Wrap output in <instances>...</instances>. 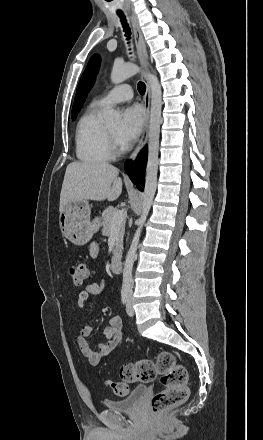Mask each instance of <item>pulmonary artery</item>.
<instances>
[{"instance_id":"pulmonary-artery-1","label":"pulmonary artery","mask_w":263,"mask_h":440,"mask_svg":"<svg viewBox=\"0 0 263 440\" xmlns=\"http://www.w3.org/2000/svg\"><path fill=\"white\" fill-rule=\"evenodd\" d=\"M133 97V89L129 84H122L107 92L96 103L101 106H111L120 102L131 100Z\"/></svg>"}]
</instances>
